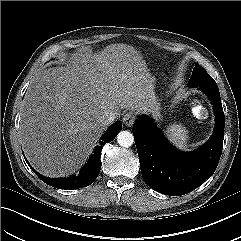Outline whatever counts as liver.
<instances>
[{"label": "liver", "mask_w": 241, "mask_h": 241, "mask_svg": "<svg viewBox=\"0 0 241 241\" xmlns=\"http://www.w3.org/2000/svg\"><path fill=\"white\" fill-rule=\"evenodd\" d=\"M156 78L132 46L85 48L67 66L39 71L25 94L20 121L23 151L46 177L73 174L92 153L106 112L156 107Z\"/></svg>", "instance_id": "obj_1"}]
</instances>
